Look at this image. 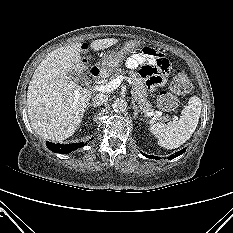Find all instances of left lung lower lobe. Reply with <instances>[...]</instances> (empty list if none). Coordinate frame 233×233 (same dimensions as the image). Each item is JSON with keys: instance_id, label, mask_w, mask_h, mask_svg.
Instances as JSON below:
<instances>
[{"instance_id": "obj_1", "label": "left lung lower lobe", "mask_w": 233, "mask_h": 233, "mask_svg": "<svg viewBox=\"0 0 233 233\" xmlns=\"http://www.w3.org/2000/svg\"><path fill=\"white\" fill-rule=\"evenodd\" d=\"M184 152H185V149H182V150L176 152L175 154L170 155L169 159H174L175 157H178L179 155L183 154ZM142 154L144 156H146L147 158H152V159H156V160L158 159L159 160V157H157V156L146 155L144 153H142Z\"/></svg>"}]
</instances>
